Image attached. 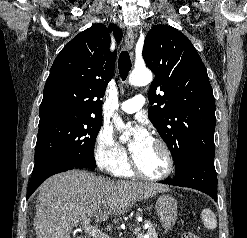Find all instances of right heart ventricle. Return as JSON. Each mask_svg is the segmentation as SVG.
<instances>
[{"label":"right heart ventricle","instance_id":"obj_1","mask_svg":"<svg viewBox=\"0 0 247 238\" xmlns=\"http://www.w3.org/2000/svg\"><path fill=\"white\" fill-rule=\"evenodd\" d=\"M114 173L118 176H121V177H129L132 175V171H131L128 163H126L123 166H121L120 168H118Z\"/></svg>","mask_w":247,"mask_h":238}]
</instances>
